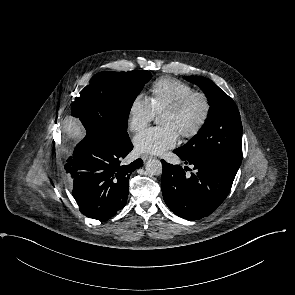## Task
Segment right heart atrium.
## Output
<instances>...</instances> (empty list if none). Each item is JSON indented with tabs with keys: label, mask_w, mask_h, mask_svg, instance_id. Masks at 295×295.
<instances>
[{
	"label": "right heart atrium",
	"mask_w": 295,
	"mask_h": 295,
	"mask_svg": "<svg viewBox=\"0 0 295 295\" xmlns=\"http://www.w3.org/2000/svg\"><path fill=\"white\" fill-rule=\"evenodd\" d=\"M155 115L150 99L142 93L135 95L128 107L129 129L133 132L143 130Z\"/></svg>",
	"instance_id": "right-heart-atrium-1"
}]
</instances>
